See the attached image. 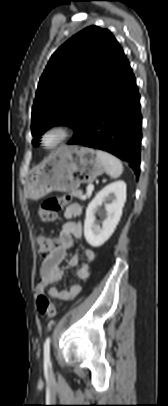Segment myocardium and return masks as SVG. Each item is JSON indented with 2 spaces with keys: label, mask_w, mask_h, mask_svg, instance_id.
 <instances>
[{
  "label": "myocardium",
  "mask_w": 168,
  "mask_h": 406,
  "mask_svg": "<svg viewBox=\"0 0 168 406\" xmlns=\"http://www.w3.org/2000/svg\"><path fill=\"white\" fill-rule=\"evenodd\" d=\"M71 130L68 126L63 124H55L49 126L44 130L40 137L41 145L47 150H53L63 144L70 136ZM49 135H56V141L51 145H47L45 140Z\"/></svg>",
  "instance_id": "obj_1"
}]
</instances>
